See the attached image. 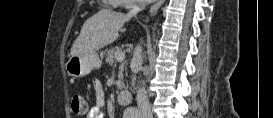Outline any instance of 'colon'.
<instances>
[{"label":"colon","mask_w":273,"mask_h":118,"mask_svg":"<svg viewBox=\"0 0 273 118\" xmlns=\"http://www.w3.org/2000/svg\"><path fill=\"white\" fill-rule=\"evenodd\" d=\"M71 110L76 115H84L87 112V104L82 96L74 95L72 97Z\"/></svg>","instance_id":"obj_1"}]
</instances>
